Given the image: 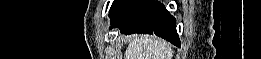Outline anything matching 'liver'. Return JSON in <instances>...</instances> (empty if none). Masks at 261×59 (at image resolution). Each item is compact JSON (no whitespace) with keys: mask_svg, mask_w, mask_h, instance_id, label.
I'll return each instance as SVG.
<instances>
[{"mask_svg":"<svg viewBox=\"0 0 261 59\" xmlns=\"http://www.w3.org/2000/svg\"><path fill=\"white\" fill-rule=\"evenodd\" d=\"M172 45L156 36L134 35L124 59H172Z\"/></svg>","mask_w":261,"mask_h":59,"instance_id":"1","label":"liver"}]
</instances>
